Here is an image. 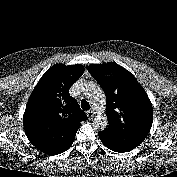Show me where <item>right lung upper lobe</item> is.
Segmentation results:
<instances>
[{
  "label": "right lung upper lobe",
  "mask_w": 177,
  "mask_h": 177,
  "mask_svg": "<svg viewBox=\"0 0 177 177\" xmlns=\"http://www.w3.org/2000/svg\"><path fill=\"white\" fill-rule=\"evenodd\" d=\"M83 73L82 65L57 64L41 77L23 117L25 133L34 146L55 153L73 143L80 122L87 118L68 91Z\"/></svg>",
  "instance_id": "obj_1"
}]
</instances>
